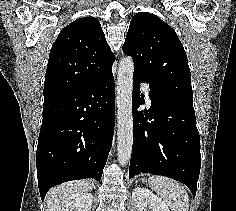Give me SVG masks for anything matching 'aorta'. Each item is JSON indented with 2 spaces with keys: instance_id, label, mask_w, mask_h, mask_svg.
<instances>
[{
  "instance_id": "762f6f07",
  "label": "aorta",
  "mask_w": 236,
  "mask_h": 211,
  "mask_svg": "<svg viewBox=\"0 0 236 211\" xmlns=\"http://www.w3.org/2000/svg\"><path fill=\"white\" fill-rule=\"evenodd\" d=\"M134 62L131 57L121 59L117 74V155L118 162L128 163L133 146V91Z\"/></svg>"
}]
</instances>
